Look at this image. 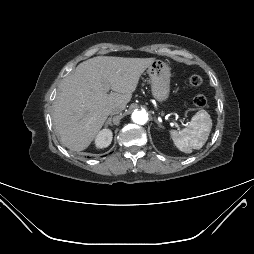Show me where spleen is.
<instances>
[{"mask_svg":"<svg viewBox=\"0 0 254 254\" xmlns=\"http://www.w3.org/2000/svg\"><path fill=\"white\" fill-rule=\"evenodd\" d=\"M212 128V120L205 110L198 111L191 119L190 126L182 130H171V138L176 147L191 153L192 149H200L208 140Z\"/></svg>","mask_w":254,"mask_h":254,"instance_id":"obj_1","label":"spleen"}]
</instances>
